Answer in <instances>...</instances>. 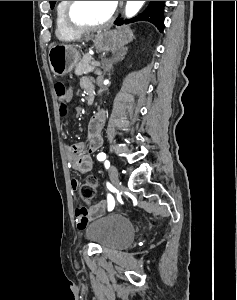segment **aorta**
Masks as SVG:
<instances>
[{
  "instance_id": "1",
  "label": "aorta",
  "mask_w": 237,
  "mask_h": 300,
  "mask_svg": "<svg viewBox=\"0 0 237 300\" xmlns=\"http://www.w3.org/2000/svg\"><path fill=\"white\" fill-rule=\"evenodd\" d=\"M145 1H127L125 7V15L130 19V17H134L137 15L138 11H140L142 5H144Z\"/></svg>"
}]
</instances>
